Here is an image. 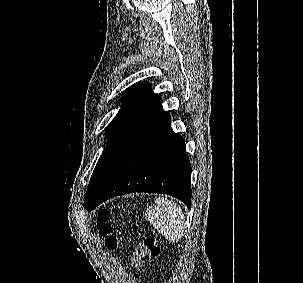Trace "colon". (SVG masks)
I'll return each mask as SVG.
<instances>
[{
	"label": "colon",
	"instance_id": "5ec220e1",
	"mask_svg": "<svg viewBox=\"0 0 303 283\" xmlns=\"http://www.w3.org/2000/svg\"><path fill=\"white\" fill-rule=\"evenodd\" d=\"M110 217L111 212L109 209L100 210L98 213V230L100 234L105 236L106 245L110 248H114L117 245V238ZM134 230L140 233L141 239L133 245L130 254V264L138 273L142 270L147 261L160 254L161 245L158 238L152 232L143 230L138 225L134 226Z\"/></svg>",
	"mask_w": 303,
	"mask_h": 283
}]
</instances>
